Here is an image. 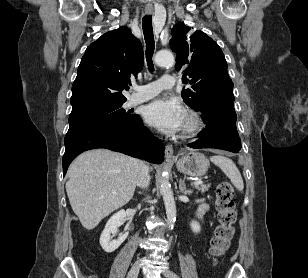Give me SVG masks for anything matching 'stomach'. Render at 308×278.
I'll return each mask as SVG.
<instances>
[{"label": "stomach", "mask_w": 308, "mask_h": 278, "mask_svg": "<svg viewBox=\"0 0 308 278\" xmlns=\"http://www.w3.org/2000/svg\"><path fill=\"white\" fill-rule=\"evenodd\" d=\"M177 169L183 174L201 177L208 170L209 162L204 154L199 152H189L184 154L177 162Z\"/></svg>", "instance_id": "obj_1"}]
</instances>
